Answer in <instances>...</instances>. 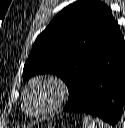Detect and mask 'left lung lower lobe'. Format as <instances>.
<instances>
[{
    "instance_id": "obj_1",
    "label": "left lung lower lobe",
    "mask_w": 125,
    "mask_h": 128,
    "mask_svg": "<svg viewBox=\"0 0 125 128\" xmlns=\"http://www.w3.org/2000/svg\"><path fill=\"white\" fill-rule=\"evenodd\" d=\"M125 107V41L114 43L89 71L74 102L65 112L97 116L118 126Z\"/></svg>"
}]
</instances>
